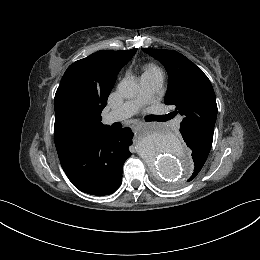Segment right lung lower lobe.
Returning <instances> with one entry per match:
<instances>
[{"instance_id":"obj_1","label":"right lung lower lobe","mask_w":260,"mask_h":260,"mask_svg":"<svg viewBox=\"0 0 260 260\" xmlns=\"http://www.w3.org/2000/svg\"><path fill=\"white\" fill-rule=\"evenodd\" d=\"M130 128L87 133L58 152L61 166L80 191L104 196L115 192L122 182V167L131 156Z\"/></svg>"}]
</instances>
